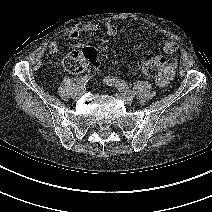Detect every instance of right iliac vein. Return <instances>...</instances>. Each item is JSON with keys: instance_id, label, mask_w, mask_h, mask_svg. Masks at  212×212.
<instances>
[{"instance_id": "63e3f726", "label": "right iliac vein", "mask_w": 212, "mask_h": 212, "mask_svg": "<svg viewBox=\"0 0 212 212\" xmlns=\"http://www.w3.org/2000/svg\"><path fill=\"white\" fill-rule=\"evenodd\" d=\"M82 93H83V91L82 90H79L76 94H75V96H74V98H79L81 95H82Z\"/></svg>"}]
</instances>
